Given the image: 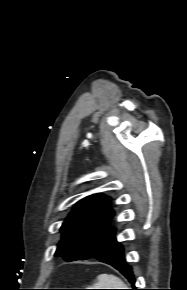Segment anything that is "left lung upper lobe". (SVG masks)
Instances as JSON below:
<instances>
[{"label":"left lung upper lobe","instance_id":"left-lung-upper-lobe-1","mask_svg":"<svg viewBox=\"0 0 187 290\" xmlns=\"http://www.w3.org/2000/svg\"><path fill=\"white\" fill-rule=\"evenodd\" d=\"M110 198L94 194L77 202L61 227L55 256L67 262L93 257L115 233L109 222L114 212Z\"/></svg>","mask_w":187,"mask_h":290}]
</instances>
